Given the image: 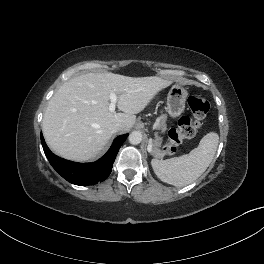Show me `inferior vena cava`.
<instances>
[{"mask_svg": "<svg viewBox=\"0 0 264 264\" xmlns=\"http://www.w3.org/2000/svg\"><path fill=\"white\" fill-rule=\"evenodd\" d=\"M123 128V124L121 123H116L112 126V131L115 133V132H118L120 131L121 129Z\"/></svg>", "mask_w": 264, "mask_h": 264, "instance_id": "inferior-vena-cava-1", "label": "inferior vena cava"}]
</instances>
